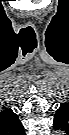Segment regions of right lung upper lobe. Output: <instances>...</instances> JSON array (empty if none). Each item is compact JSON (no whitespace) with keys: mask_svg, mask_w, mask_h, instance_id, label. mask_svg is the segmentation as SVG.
<instances>
[{"mask_svg":"<svg viewBox=\"0 0 69 135\" xmlns=\"http://www.w3.org/2000/svg\"><path fill=\"white\" fill-rule=\"evenodd\" d=\"M4 115L7 121L4 127L5 135H24V128L18 116L11 109H6Z\"/></svg>","mask_w":69,"mask_h":135,"instance_id":"1","label":"right lung upper lobe"}]
</instances>
